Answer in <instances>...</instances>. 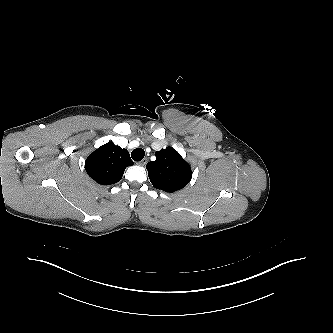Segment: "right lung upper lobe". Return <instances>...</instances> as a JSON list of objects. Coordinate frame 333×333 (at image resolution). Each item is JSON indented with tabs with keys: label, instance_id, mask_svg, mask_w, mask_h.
Segmentation results:
<instances>
[{
	"label": "right lung upper lobe",
	"instance_id": "right-lung-upper-lobe-1",
	"mask_svg": "<svg viewBox=\"0 0 333 333\" xmlns=\"http://www.w3.org/2000/svg\"><path fill=\"white\" fill-rule=\"evenodd\" d=\"M132 165L133 161L126 149L108 142L88 156L85 170L97 183L111 185L119 182L125 168Z\"/></svg>",
	"mask_w": 333,
	"mask_h": 333
}]
</instances>
